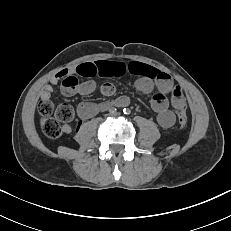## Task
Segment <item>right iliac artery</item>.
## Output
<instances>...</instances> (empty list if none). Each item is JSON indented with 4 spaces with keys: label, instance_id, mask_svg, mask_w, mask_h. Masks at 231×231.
<instances>
[{
    "label": "right iliac artery",
    "instance_id": "1",
    "mask_svg": "<svg viewBox=\"0 0 231 231\" xmlns=\"http://www.w3.org/2000/svg\"><path fill=\"white\" fill-rule=\"evenodd\" d=\"M116 108L115 107H111L110 109H109V112L110 113H112V114H114L115 112H116Z\"/></svg>",
    "mask_w": 231,
    "mask_h": 231
}]
</instances>
